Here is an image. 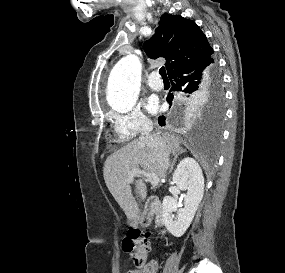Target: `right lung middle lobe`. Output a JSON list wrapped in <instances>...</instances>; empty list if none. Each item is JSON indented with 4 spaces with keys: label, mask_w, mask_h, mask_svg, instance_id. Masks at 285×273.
I'll return each instance as SVG.
<instances>
[{
    "label": "right lung middle lobe",
    "mask_w": 285,
    "mask_h": 273,
    "mask_svg": "<svg viewBox=\"0 0 285 273\" xmlns=\"http://www.w3.org/2000/svg\"><path fill=\"white\" fill-rule=\"evenodd\" d=\"M221 77L220 74L217 70V65L215 63V68H214V74L212 78L205 84V86L200 89L196 93L192 94H184L183 96L185 97L186 102H194L196 101L199 97L205 96L208 94H212L216 96V107L214 110V115L216 116L217 119H221L223 116V109L220 106V95H221Z\"/></svg>",
    "instance_id": "obj_1"
}]
</instances>
